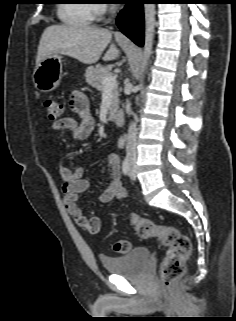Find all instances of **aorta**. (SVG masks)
Returning <instances> with one entry per match:
<instances>
[{"label":"aorta","instance_id":"aorta-1","mask_svg":"<svg viewBox=\"0 0 236 321\" xmlns=\"http://www.w3.org/2000/svg\"><path fill=\"white\" fill-rule=\"evenodd\" d=\"M145 15V41L143 51L142 70L144 71L148 65L152 54L153 39L155 33V4L144 5Z\"/></svg>","mask_w":236,"mask_h":321}]
</instances>
